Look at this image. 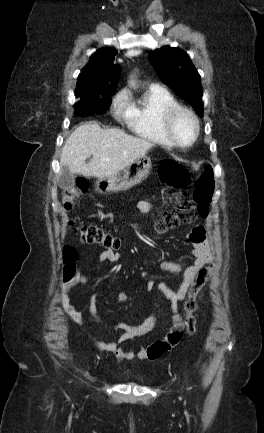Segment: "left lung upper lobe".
<instances>
[{
	"mask_svg": "<svg viewBox=\"0 0 264 433\" xmlns=\"http://www.w3.org/2000/svg\"><path fill=\"white\" fill-rule=\"evenodd\" d=\"M159 78L203 116L201 77L187 53L164 46L149 54Z\"/></svg>",
	"mask_w": 264,
	"mask_h": 433,
	"instance_id": "5c2ea615",
	"label": "left lung upper lobe"
}]
</instances>
